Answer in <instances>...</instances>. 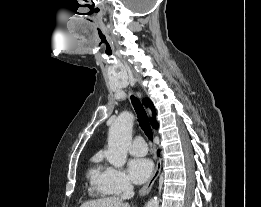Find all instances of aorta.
<instances>
[{"mask_svg": "<svg viewBox=\"0 0 261 207\" xmlns=\"http://www.w3.org/2000/svg\"><path fill=\"white\" fill-rule=\"evenodd\" d=\"M134 117L128 112L121 113L109 128L108 148L105 157L115 168H121L126 163L127 151L132 141ZM145 207H159L156 197L150 199Z\"/></svg>", "mask_w": 261, "mask_h": 207, "instance_id": "obj_1", "label": "aorta"}]
</instances>
